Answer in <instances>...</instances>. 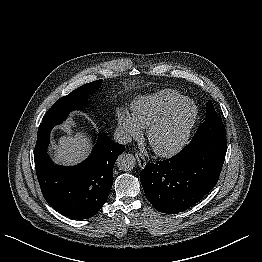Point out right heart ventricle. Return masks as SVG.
<instances>
[{
	"instance_id": "obj_1",
	"label": "right heart ventricle",
	"mask_w": 262,
	"mask_h": 262,
	"mask_svg": "<svg viewBox=\"0 0 262 262\" xmlns=\"http://www.w3.org/2000/svg\"><path fill=\"white\" fill-rule=\"evenodd\" d=\"M184 98L172 89H163L137 98L132 105V116L141 128H148L169 107Z\"/></svg>"
}]
</instances>
